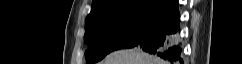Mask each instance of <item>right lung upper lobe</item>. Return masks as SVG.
Instances as JSON below:
<instances>
[{"instance_id": "cb5924a9", "label": "right lung upper lobe", "mask_w": 242, "mask_h": 64, "mask_svg": "<svg viewBox=\"0 0 242 64\" xmlns=\"http://www.w3.org/2000/svg\"><path fill=\"white\" fill-rule=\"evenodd\" d=\"M177 0H93L86 24L102 16L132 10H151L165 14Z\"/></svg>"}]
</instances>
